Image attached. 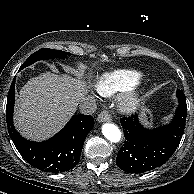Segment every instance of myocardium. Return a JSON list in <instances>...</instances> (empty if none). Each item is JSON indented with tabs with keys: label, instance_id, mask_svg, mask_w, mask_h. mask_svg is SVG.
Masks as SVG:
<instances>
[{
	"label": "myocardium",
	"instance_id": "myocardium-1",
	"mask_svg": "<svg viewBox=\"0 0 194 194\" xmlns=\"http://www.w3.org/2000/svg\"><path fill=\"white\" fill-rule=\"evenodd\" d=\"M140 102L141 90L135 86L118 99V108L124 113H132L140 105Z\"/></svg>",
	"mask_w": 194,
	"mask_h": 194
}]
</instances>
